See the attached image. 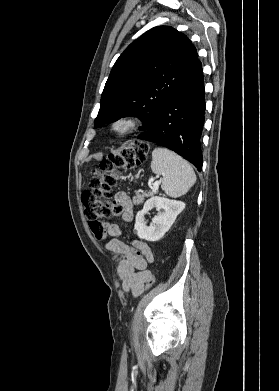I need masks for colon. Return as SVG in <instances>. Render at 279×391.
Returning a JSON list of instances; mask_svg holds the SVG:
<instances>
[{"label":"colon","mask_w":279,"mask_h":391,"mask_svg":"<svg viewBox=\"0 0 279 391\" xmlns=\"http://www.w3.org/2000/svg\"><path fill=\"white\" fill-rule=\"evenodd\" d=\"M148 150L146 143L133 141L110 158L103 160L102 171L91 177L90 190L82 194V202L90 229L96 238L103 239L106 236L103 229L104 221L120 215L123 211L122 206L111 199L112 187L119 170L145 162ZM154 282L155 277L151 274L145 283V290L150 289Z\"/></svg>","instance_id":"1"}]
</instances>
